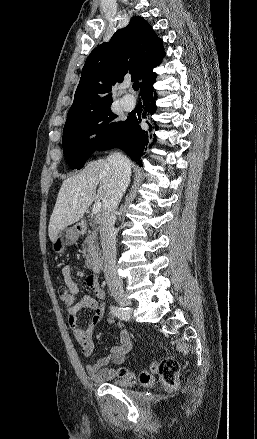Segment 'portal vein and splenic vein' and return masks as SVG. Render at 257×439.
Returning <instances> with one entry per match:
<instances>
[{
	"mask_svg": "<svg viewBox=\"0 0 257 439\" xmlns=\"http://www.w3.org/2000/svg\"><path fill=\"white\" fill-rule=\"evenodd\" d=\"M100 210H101V203L100 202H96L93 205L92 214H98L100 212Z\"/></svg>",
	"mask_w": 257,
	"mask_h": 439,
	"instance_id": "1",
	"label": "portal vein and splenic vein"
}]
</instances>
